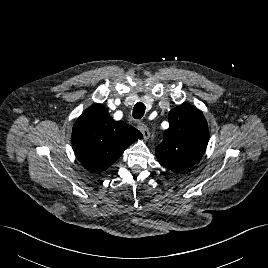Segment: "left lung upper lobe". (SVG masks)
Masks as SVG:
<instances>
[{
	"instance_id": "5c2ea615",
	"label": "left lung upper lobe",
	"mask_w": 268,
	"mask_h": 268,
	"mask_svg": "<svg viewBox=\"0 0 268 268\" xmlns=\"http://www.w3.org/2000/svg\"><path fill=\"white\" fill-rule=\"evenodd\" d=\"M169 128L156 147L159 163L174 172L187 170L203 156L209 131L205 117L195 106L185 102L168 115Z\"/></svg>"
}]
</instances>
